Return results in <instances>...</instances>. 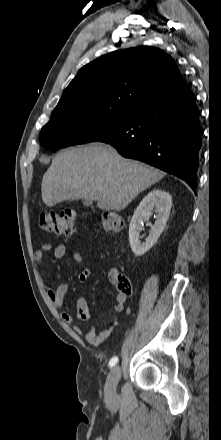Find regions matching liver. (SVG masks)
Masks as SVG:
<instances>
[{
    "label": "liver",
    "mask_w": 221,
    "mask_h": 440,
    "mask_svg": "<svg viewBox=\"0 0 221 440\" xmlns=\"http://www.w3.org/2000/svg\"><path fill=\"white\" fill-rule=\"evenodd\" d=\"M165 174L124 159L110 145L93 143L63 150L43 176L41 195L48 207L64 200H94L102 210L120 211Z\"/></svg>",
    "instance_id": "6515ba94"
}]
</instances>
